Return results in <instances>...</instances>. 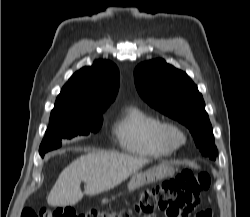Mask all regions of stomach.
I'll return each mask as SVG.
<instances>
[{
	"mask_svg": "<svg viewBox=\"0 0 250 217\" xmlns=\"http://www.w3.org/2000/svg\"><path fill=\"white\" fill-rule=\"evenodd\" d=\"M172 173L173 168L169 164H160L144 172H136L128 184V189L129 191H134L145 184H150L170 176Z\"/></svg>",
	"mask_w": 250,
	"mask_h": 217,
	"instance_id": "stomach-1",
	"label": "stomach"
}]
</instances>
